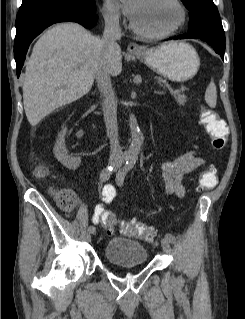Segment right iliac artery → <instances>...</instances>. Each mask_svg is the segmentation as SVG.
Masks as SVG:
<instances>
[{
  "label": "right iliac artery",
  "instance_id": "82829eb1",
  "mask_svg": "<svg viewBox=\"0 0 245 319\" xmlns=\"http://www.w3.org/2000/svg\"><path fill=\"white\" fill-rule=\"evenodd\" d=\"M124 160H127V158H125ZM113 172V166H107L106 168H104L101 173H100V181L101 182H106L111 174ZM110 186L109 185H105L104 188H103V195H106L107 197L110 195ZM113 198H109V201H112ZM88 231L91 232V233H94L95 232V227L94 226H90L88 228Z\"/></svg>",
  "mask_w": 245,
  "mask_h": 319
}]
</instances>
